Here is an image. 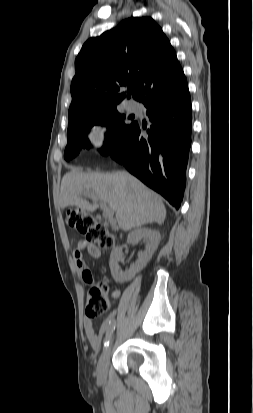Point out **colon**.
<instances>
[{"instance_id":"1","label":"colon","mask_w":253,"mask_h":413,"mask_svg":"<svg viewBox=\"0 0 253 413\" xmlns=\"http://www.w3.org/2000/svg\"><path fill=\"white\" fill-rule=\"evenodd\" d=\"M69 225L85 235L88 243L102 249L112 248L115 236L93 216L79 210L69 209L66 214ZM110 305L109 287L105 283L91 285L87 294L86 315L95 318L104 314Z\"/></svg>"}]
</instances>
